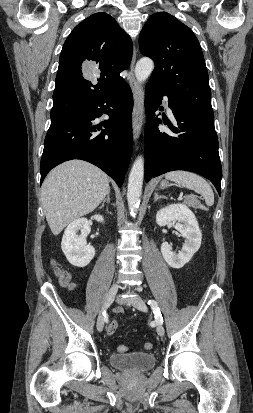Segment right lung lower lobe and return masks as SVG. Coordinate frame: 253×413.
Instances as JSON below:
<instances>
[{
    "instance_id": "1",
    "label": "right lung lower lobe",
    "mask_w": 253,
    "mask_h": 413,
    "mask_svg": "<svg viewBox=\"0 0 253 413\" xmlns=\"http://www.w3.org/2000/svg\"><path fill=\"white\" fill-rule=\"evenodd\" d=\"M133 96L123 82L102 97L77 111L51 122L40 163L41 181L58 164L71 160L88 161L122 186L133 148L131 115ZM109 115L103 126L93 120Z\"/></svg>"
}]
</instances>
